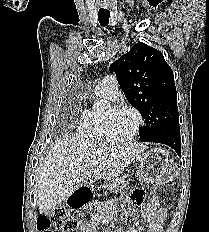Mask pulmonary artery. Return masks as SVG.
I'll return each mask as SVG.
<instances>
[{
  "instance_id": "obj_1",
  "label": "pulmonary artery",
  "mask_w": 209,
  "mask_h": 232,
  "mask_svg": "<svg viewBox=\"0 0 209 232\" xmlns=\"http://www.w3.org/2000/svg\"><path fill=\"white\" fill-rule=\"evenodd\" d=\"M118 81L113 74L106 75L96 86V92L105 94L110 100L118 96Z\"/></svg>"
}]
</instances>
